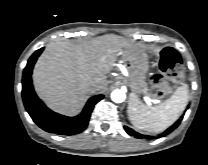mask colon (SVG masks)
<instances>
[{
  "mask_svg": "<svg viewBox=\"0 0 208 165\" xmlns=\"http://www.w3.org/2000/svg\"><path fill=\"white\" fill-rule=\"evenodd\" d=\"M158 66L159 73L151 79L152 93L156 97H163L182 74V58L174 48L166 47L160 54Z\"/></svg>",
  "mask_w": 208,
  "mask_h": 165,
  "instance_id": "colon-1",
  "label": "colon"
}]
</instances>
